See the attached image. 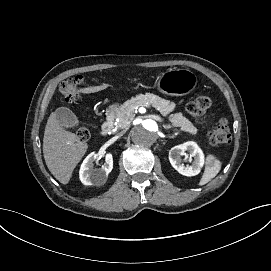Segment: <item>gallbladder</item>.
<instances>
[{"label": "gallbladder", "instance_id": "1", "mask_svg": "<svg viewBox=\"0 0 271 271\" xmlns=\"http://www.w3.org/2000/svg\"><path fill=\"white\" fill-rule=\"evenodd\" d=\"M59 125L66 129H76L80 122L75 113L66 107L57 108L55 111Z\"/></svg>", "mask_w": 271, "mask_h": 271}]
</instances>
